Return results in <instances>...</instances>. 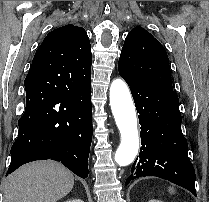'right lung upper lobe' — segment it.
<instances>
[{
  "instance_id": "obj_1",
  "label": "right lung upper lobe",
  "mask_w": 209,
  "mask_h": 202,
  "mask_svg": "<svg viewBox=\"0 0 209 202\" xmlns=\"http://www.w3.org/2000/svg\"><path fill=\"white\" fill-rule=\"evenodd\" d=\"M91 45L86 31L69 24L50 32L37 49L32 66L73 86L91 83Z\"/></svg>"
}]
</instances>
